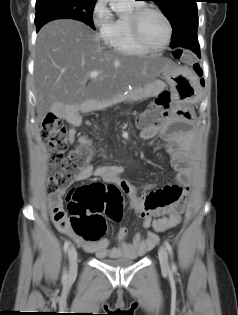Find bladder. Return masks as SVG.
<instances>
[{"label": "bladder", "instance_id": "bladder-1", "mask_svg": "<svg viewBox=\"0 0 238 315\" xmlns=\"http://www.w3.org/2000/svg\"><path fill=\"white\" fill-rule=\"evenodd\" d=\"M102 262L111 267L122 268L135 263L136 258H127L123 260L102 259Z\"/></svg>", "mask_w": 238, "mask_h": 315}]
</instances>
